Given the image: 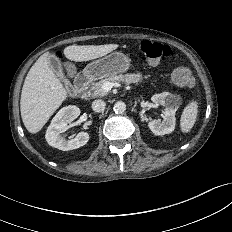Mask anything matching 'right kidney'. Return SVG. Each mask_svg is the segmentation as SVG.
I'll return each instance as SVG.
<instances>
[{
    "instance_id": "ca27d5eb",
    "label": "right kidney",
    "mask_w": 232,
    "mask_h": 232,
    "mask_svg": "<svg viewBox=\"0 0 232 232\" xmlns=\"http://www.w3.org/2000/svg\"><path fill=\"white\" fill-rule=\"evenodd\" d=\"M79 115L80 109L75 105H69L59 110L46 131L45 138L47 143L63 151L84 146L89 140V134L87 132L82 131L71 140H66L60 135V133L66 129L68 123L72 122Z\"/></svg>"
}]
</instances>
